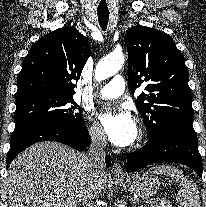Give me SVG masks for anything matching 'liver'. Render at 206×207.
I'll return each instance as SVG.
<instances>
[{"instance_id":"1","label":"liver","mask_w":206,"mask_h":207,"mask_svg":"<svg viewBox=\"0 0 206 207\" xmlns=\"http://www.w3.org/2000/svg\"><path fill=\"white\" fill-rule=\"evenodd\" d=\"M86 154L58 142H39L19 154L6 177L9 207H77L89 192ZM104 172L93 194L105 193Z\"/></svg>"}]
</instances>
